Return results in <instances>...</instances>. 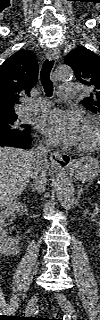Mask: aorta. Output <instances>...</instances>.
Masks as SVG:
<instances>
[{
  "instance_id": "obj_1",
  "label": "aorta",
  "mask_w": 100,
  "mask_h": 320,
  "mask_svg": "<svg viewBox=\"0 0 100 320\" xmlns=\"http://www.w3.org/2000/svg\"><path fill=\"white\" fill-rule=\"evenodd\" d=\"M74 76L70 66H60L56 70V78L59 81H70ZM56 195L58 201L65 209H70L74 202V189L71 180L66 173L60 172L56 177Z\"/></svg>"
}]
</instances>
